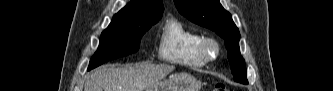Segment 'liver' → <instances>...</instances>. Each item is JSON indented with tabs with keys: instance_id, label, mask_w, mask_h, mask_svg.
Instances as JSON below:
<instances>
[{
	"instance_id": "1",
	"label": "liver",
	"mask_w": 333,
	"mask_h": 91,
	"mask_svg": "<svg viewBox=\"0 0 333 91\" xmlns=\"http://www.w3.org/2000/svg\"><path fill=\"white\" fill-rule=\"evenodd\" d=\"M173 70L170 65L147 63L103 66L87 76L84 91H147Z\"/></svg>"
}]
</instances>
